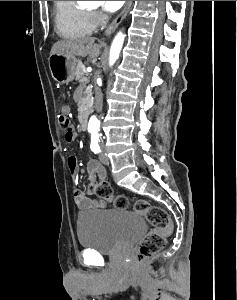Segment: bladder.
Wrapping results in <instances>:
<instances>
[{
    "mask_svg": "<svg viewBox=\"0 0 237 300\" xmlns=\"http://www.w3.org/2000/svg\"><path fill=\"white\" fill-rule=\"evenodd\" d=\"M140 215L126 210L79 215L76 235L81 247L100 254H116L132 245L145 231Z\"/></svg>",
    "mask_w": 237,
    "mask_h": 300,
    "instance_id": "obj_1",
    "label": "bladder"
}]
</instances>
